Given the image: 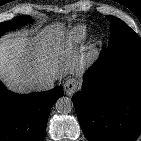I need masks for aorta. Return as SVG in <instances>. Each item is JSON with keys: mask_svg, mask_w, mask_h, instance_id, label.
<instances>
[{"mask_svg": "<svg viewBox=\"0 0 141 141\" xmlns=\"http://www.w3.org/2000/svg\"><path fill=\"white\" fill-rule=\"evenodd\" d=\"M74 105L69 97H61L55 103V108L57 112L68 114L72 111Z\"/></svg>", "mask_w": 141, "mask_h": 141, "instance_id": "obj_1", "label": "aorta"}]
</instances>
